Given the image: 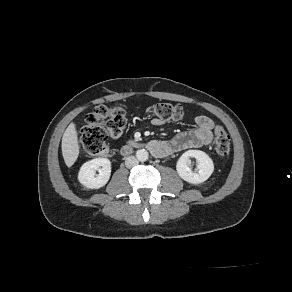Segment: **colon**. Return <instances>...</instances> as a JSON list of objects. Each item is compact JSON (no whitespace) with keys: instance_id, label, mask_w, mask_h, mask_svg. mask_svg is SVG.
<instances>
[{"instance_id":"1","label":"colon","mask_w":292,"mask_h":292,"mask_svg":"<svg viewBox=\"0 0 292 292\" xmlns=\"http://www.w3.org/2000/svg\"><path fill=\"white\" fill-rule=\"evenodd\" d=\"M148 113L163 121L183 120L186 112L183 107L170 103H157L148 108ZM126 125V114L121 107L109 108L100 105L94 108L85 118L81 130V142L84 150L93 156L104 154L108 137L120 136ZM215 150L224 158L231 148V140L221 126L214 127Z\"/></svg>"}]
</instances>
